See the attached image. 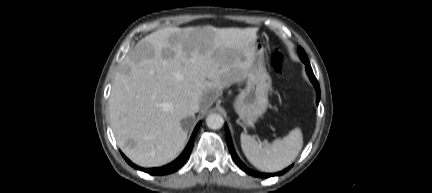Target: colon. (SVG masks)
Listing matches in <instances>:
<instances>
[{"label": "colon", "mask_w": 432, "mask_h": 193, "mask_svg": "<svg viewBox=\"0 0 432 193\" xmlns=\"http://www.w3.org/2000/svg\"><path fill=\"white\" fill-rule=\"evenodd\" d=\"M271 64L276 72L282 73L285 69V59L282 53L276 51L272 56Z\"/></svg>", "instance_id": "obj_1"}]
</instances>
